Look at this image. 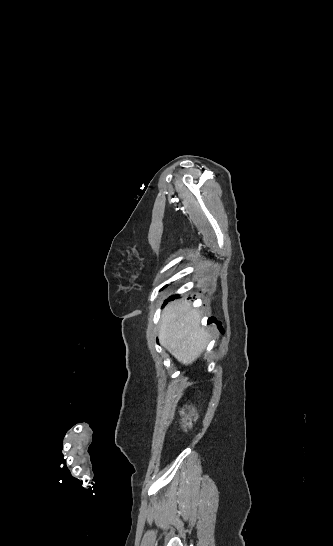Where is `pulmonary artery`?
Returning a JSON list of instances; mask_svg holds the SVG:
<instances>
[{"label":"pulmonary artery","mask_w":333,"mask_h":546,"mask_svg":"<svg viewBox=\"0 0 333 546\" xmlns=\"http://www.w3.org/2000/svg\"><path fill=\"white\" fill-rule=\"evenodd\" d=\"M272 14H283L282 12L272 13Z\"/></svg>","instance_id":"obj_1"}]
</instances>
